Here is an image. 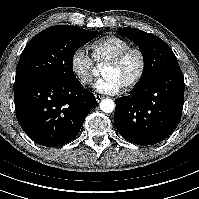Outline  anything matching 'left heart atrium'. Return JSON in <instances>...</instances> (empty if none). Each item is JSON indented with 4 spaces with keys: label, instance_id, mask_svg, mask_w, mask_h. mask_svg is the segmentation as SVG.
<instances>
[{
    "label": "left heart atrium",
    "instance_id": "39dd6f15",
    "mask_svg": "<svg viewBox=\"0 0 199 199\" xmlns=\"http://www.w3.org/2000/svg\"><path fill=\"white\" fill-rule=\"evenodd\" d=\"M122 85L113 77H104L94 84V89L97 92L104 94H115L120 91Z\"/></svg>",
    "mask_w": 199,
    "mask_h": 199
}]
</instances>
